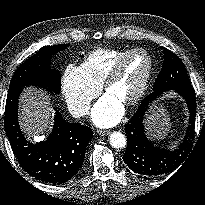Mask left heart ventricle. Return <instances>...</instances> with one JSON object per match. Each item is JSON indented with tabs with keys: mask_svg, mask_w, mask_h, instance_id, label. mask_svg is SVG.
I'll return each instance as SVG.
<instances>
[{
	"mask_svg": "<svg viewBox=\"0 0 205 205\" xmlns=\"http://www.w3.org/2000/svg\"><path fill=\"white\" fill-rule=\"evenodd\" d=\"M148 58L143 53L133 55L126 62L121 76L110 86L107 94L120 103L130 99L138 90L148 68Z\"/></svg>",
	"mask_w": 205,
	"mask_h": 205,
	"instance_id": "left-heart-ventricle-1",
	"label": "left heart ventricle"
}]
</instances>
